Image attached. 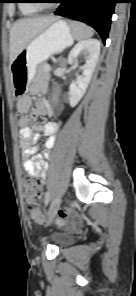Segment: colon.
<instances>
[{"instance_id":"obj_1","label":"colon","mask_w":136,"mask_h":296,"mask_svg":"<svg viewBox=\"0 0 136 296\" xmlns=\"http://www.w3.org/2000/svg\"><path fill=\"white\" fill-rule=\"evenodd\" d=\"M24 193L27 200V208L31 217L37 221L42 222L43 216L40 208L41 188L38 184L29 179L23 181ZM71 216L69 209H63L60 213L61 219H67Z\"/></svg>"}]
</instances>
